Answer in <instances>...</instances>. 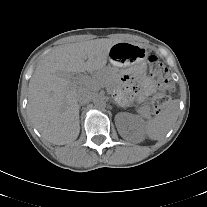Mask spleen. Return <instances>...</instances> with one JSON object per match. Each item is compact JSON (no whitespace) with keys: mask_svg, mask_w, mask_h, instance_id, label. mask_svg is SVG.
<instances>
[{"mask_svg":"<svg viewBox=\"0 0 207 207\" xmlns=\"http://www.w3.org/2000/svg\"><path fill=\"white\" fill-rule=\"evenodd\" d=\"M179 103L171 101L167 107L143 125L145 135L151 140H160L170 131L178 118Z\"/></svg>","mask_w":207,"mask_h":207,"instance_id":"obj_1","label":"spleen"}]
</instances>
